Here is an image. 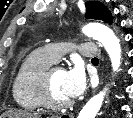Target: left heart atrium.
Instances as JSON below:
<instances>
[{"mask_svg": "<svg viewBox=\"0 0 133 118\" xmlns=\"http://www.w3.org/2000/svg\"><path fill=\"white\" fill-rule=\"evenodd\" d=\"M63 87L66 95L70 99L77 98L85 91L87 88V80L81 66H74L65 71Z\"/></svg>", "mask_w": 133, "mask_h": 118, "instance_id": "1", "label": "left heart atrium"}]
</instances>
